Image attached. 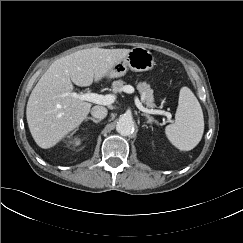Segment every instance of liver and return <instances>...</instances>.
<instances>
[{
  "mask_svg": "<svg viewBox=\"0 0 243 243\" xmlns=\"http://www.w3.org/2000/svg\"><path fill=\"white\" fill-rule=\"evenodd\" d=\"M130 49L92 48L54 61L39 79L27 102L26 118L36 144L51 148L79 127L91 103L74 98L73 84L81 87L98 82Z\"/></svg>",
  "mask_w": 243,
  "mask_h": 243,
  "instance_id": "1",
  "label": "liver"
}]
</instances>
